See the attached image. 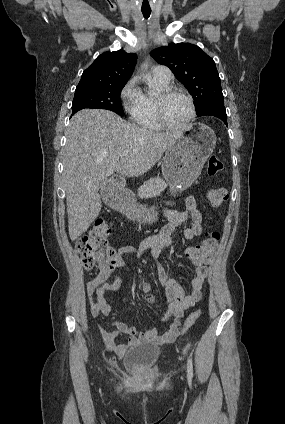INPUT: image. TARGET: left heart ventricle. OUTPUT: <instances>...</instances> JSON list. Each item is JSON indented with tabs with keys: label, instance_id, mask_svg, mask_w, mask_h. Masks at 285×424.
I'll return each instance as SVG.
<instances>
[{
	"label": "left heart ventricle",
	"instance_id": "b2bd125f",
	"mask_svg": "<svg viewBox=\"0 0 285 424\" xmlns=\"http://www.w3.org/2000/svg\"><path fill=\"white\" fill-rule=\"evenodd\" d=\"M190 114V105L181 95L171 97L165 104V115L168 121L180 125L186 121Z\"/></svg>",
	"mask_w": 285,
	"mask_h": 424
}]
</instances>
